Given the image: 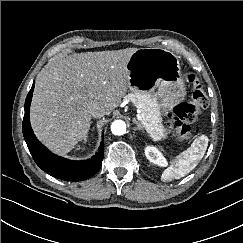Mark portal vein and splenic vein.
Returning a JSON list of instances; mask_svg holds the SVG:
<instances>
[{
  "mask_svg": "<svg viewBox=\"0 0 243 243\" xmlns=\"http://www.w3.org/2000/svg\"><path fill=\"white\" fill-rule=\"evenodd\" d=\"M137 119L144 125V119L141 114H137Z\"/></svg>",
  "mask_w": 243,
  "mask_h": 243,
  "instance_id": "18ae733b",
  "label": "portal vein and splenic vein"
}]
</instances>
